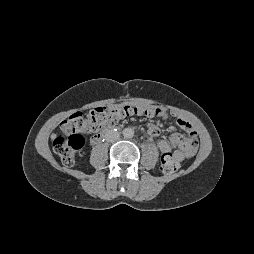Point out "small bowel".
<instances>
[{"label":"small bowel","mask_w":254,"mask_h":254,"mask_svg":"<svg viewBox=\"0 0 254 254\" xmlns=\"http://www.w3.org/2000/svg\"><path fill=\"white\" fill-rule=\"evenodd\" d=\"M166 117V114L157 109L156 115H148L149 117L153 116ZM178 127L187 132V136H183L180 133H173L171 136V143L160 137V129L157 125L149 123L147 125L148 134L157 140V146L159 150L164 155H171L176 161H183L194 156L197 151V134L192 125V123L183 117H179L176 120ZM173 145L178 146V150H173Z\"/></svg>","instance_id":"1"}]
</instances>
